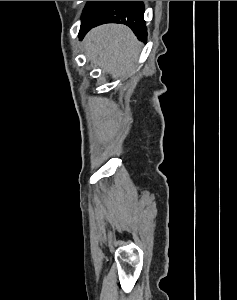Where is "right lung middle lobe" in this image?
Returning a JSON list of instances; mask_svg holds the SVG:
<instances>
[{
  "mask_svg": "<svg viewBox=\"0 0 237 300\" xmlns=\"http://www.w3.org/2000/svg\"><path fill=\"white\" fill-rule=\"evenodd\" d=\"M115 2L116 1H88L82 13L81 29L99 20Z\"/></svg>",
  "mask_w": 237,
  "mask_h": 300,
  "instance_id": "right-lung-middle-lobe-1",
  "label": "right lung middle lobe"
}]
</instances>
